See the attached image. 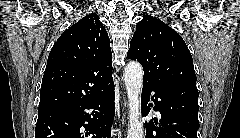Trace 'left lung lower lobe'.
Instances as JSON below:
<instances>
[{
	"label": "left lung lower lobe",
	"instance_id": "left-lung-lower-lobe-1",
	"mask_svg": "<svg viewBox=\"0 0 240 138\" xmlns=\"http://www.w3.org/2000/svg\"><path fill=\"white\" fill-rule=\"evenodd\" d=\"M152 91L155 95L151 99L155 102L154 108L161 114V120L158 129L145 123L146 138H197L198 90L191 87L163 90L143 85L142 112L145 116L149 112L146 106L150 100L148 94Z\"/></svg>",
	"mask_w": 240,
	"mask_h": 138
}]
</instances>
